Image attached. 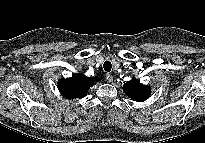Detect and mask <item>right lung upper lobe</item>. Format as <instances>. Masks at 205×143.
Returning <instances> with one entry per match:
<instances>
[{
	"instance_id": "cb5924a9",
	"label": "right lung upper lobe",
	"mask_w": 205,
	"mask_h": 143,
	"mask_svg": "<svg viewBox=\"0 0 205 143\" xmlns=\"http://www.w3.org/2000/svg\"><path fill=\"white\" fill-rule=\"evenodd\" d=\"M99 81L97 77H87L82 74H75L71 78L60 79L58 89L67 99L82 98L86 96L91 85Z\"/></svg>"
}]
</instances>
